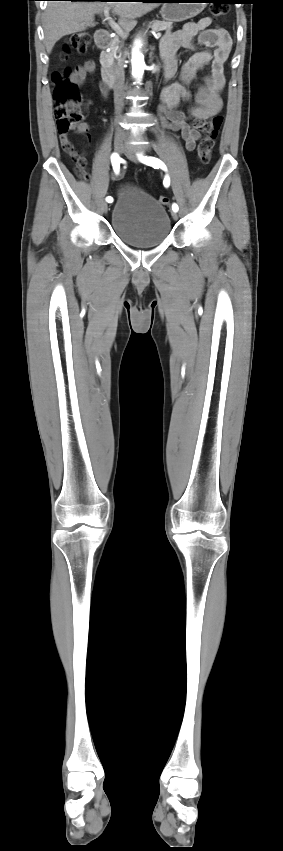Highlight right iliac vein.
I'll use <instances>...</instances> for the list:
<instances>
[{"mask_svg":"<svg viewBox=\"0 0 283 851\" xmlns=\"http://www.w3.org/2000/svg\"><path fill=\"white\" fill-rule=\"evenodd\" d=\"M115 150H116V152H118V153H120V154H121V153H123V152L125 151V146H124V144H123V142H122L121 140H116V141H115ZM102 209H103L104 213H107V211H108V204H107L106 202H103V204H102Z\"/></svg>","mask_w":283,"mask_h":851,"instance_id":"right-iliac-vein-1","label":"right iliac vein"}]
</instances>
